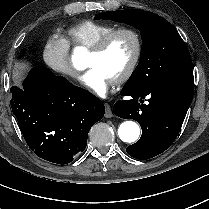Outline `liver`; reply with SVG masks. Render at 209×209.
<instances>
[{
  "label": "liver",
  "mask_w": 209,
  "mask_h": 209,
  "mask_svg": "<svg viewBox=\"0 0 209 209\" xmlns=\"http://www.w3.org/2000/svg\"><path fill=\"white\" fill-rule=\"evenodd\" d=\"M28 68V64L25 62H19L15 64V68L13 71V80L16 84H18L23 76V73Z\"/></svg>",
  "instance_id": "6515ba94"
}]
</instances>
